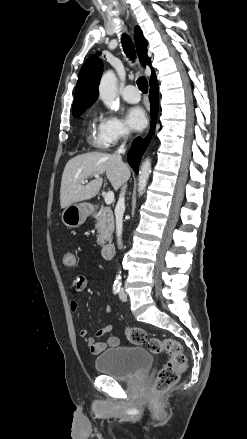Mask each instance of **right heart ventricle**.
Here are the masks:
<instances>
[{"label":"right heart ventricle","mask_w":247,"mask_h":439,"mask_svg":"<svg viewBox=\"0 0 247 439\" xmlns=\"http://www.w3.org/2000/svg\"><path fill=\"white\" fill-rule=\"evenodd\" d=\"M88 132L89 133L87 136V140H88L89 144H91L92 146L97 147V148H104L105 147V145L102 143V141L99 138L98 128L96 130V123H95L94 119H92L89 122Z\"/></svg>","instance_id":"1"}]
</instances>
